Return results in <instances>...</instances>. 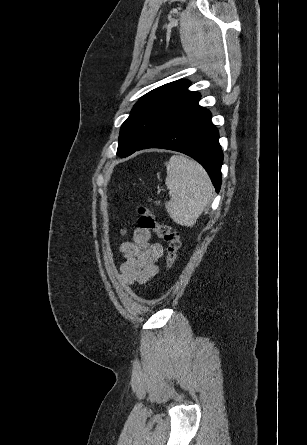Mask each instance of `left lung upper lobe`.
<instances>
[{
	"label": "left lung upper lobe",
	"instance_id": "5c2ea615",
	"mask_svg": "<svg viewBox=\"0 0 307 445\" xmlns=\"http://www.w3.org/2000/svg\"><path fill=\"white\" fill-rule=\"evenodd\" d=\"M189 85L187 80H178L141 97L121 126L117 154L131 155L150 136L196 107L200 94L188 91Z\"/></svg>",
	"mask_w": 307,
	"mask_h": 445
}]
</instances>
